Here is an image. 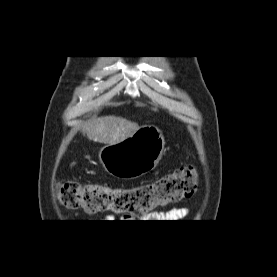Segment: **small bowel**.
<instances>
[{
  "instance_id": "c3829d8e",
  "label": "small bowel",
  "mask_w": 277,
  "mask_h": 277,
  "mask_svg": "<svg viewBox=\"0 0 277 277\" xmlns=\"http://www.w3.org/2000/svg\"><path fill=\"white\" fill-rule=\"evenodd\" d=\"M188 214V209L185 207L171 208L165 212H154L146 219L149 222H179L183 220Z\"/></svg>"
}]
</instances>
